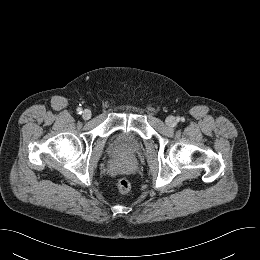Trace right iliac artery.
<instances>
[{
    "mask_svg": "<svg viewBox=\"0 0 260 260\" xmlns=\"http://www.w3.org/2000/svg\"><path fill=\"white\" fill-rule=\"evenodd\" d=\"M77 113L81 114L82 113V108H77Z\"/></svg>",
    "mask_w": 260,
    "mask_h": 260,
    "instance_id": "82829eb1",
    "label": "right iliac artery"
}]
</instances>
